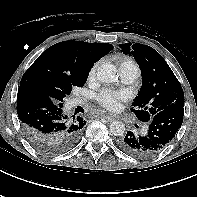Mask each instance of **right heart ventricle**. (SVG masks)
<instances>
[{"label": "right heart ventricle", "instance_id": "e07e8e85", "mask_svg": "<svg viewBox=\"0 0 197 197\" xmlns=\"http://www.w3.org/2000/svg\"><path fill=\"white\" fill-rule=\"evenodd\" d=\"M127 66L135 67L138 69L136 63L132 59H129V58L122 59L120 62V68L127 67Z\"/></svg>", "mask_w": 197, "mask_h": 197}]
</instances>
